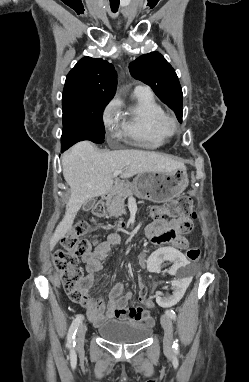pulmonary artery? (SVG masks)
I'll return each instance as SVG.
<instances>
[{
	"label": "pulmonary artery",
	"mask_w": 249,
	"mask_h": 382,
	"mask_svg": "<svg viewBox=\"0 0 249 382\" xmlns=\"http://www.w3.org/2000/svg\"><path fill=\"white\" fill-rule=\"evenodd\" d=\"M135 90L149 91V88L145 85H138L136 86Z\"/></svg>",
	"instance_id": "e3ab8cb5"
}]
</instances>
